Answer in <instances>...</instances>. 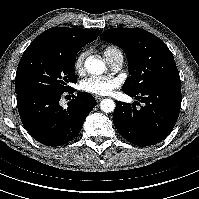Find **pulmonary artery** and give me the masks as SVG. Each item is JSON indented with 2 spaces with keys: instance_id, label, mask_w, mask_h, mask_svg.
<instances>
[{
  "instance_id": "e3ab8cb5",
  "label": "pulmonary artery",
  "mask_w": 199,
  "mask_h": 199,
  "mask_svg": "<svg viewBox=\"0 0 199 199\" xmlns=\"http://www.w3.org/2000/svg\"><path fill=\"white\" fill-rule=\"evenodd\" d=\"M124 63V57L122 55V53H118L116 54L113 59L109 62L111 68L113 70H119L122 68Z\"/></svg>"
}]
</instances>
